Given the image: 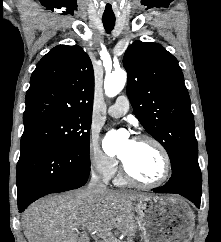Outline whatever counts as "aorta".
<instances>
[{
    "instance_id": "aorta-1",
    "label": "aorta",
    "mask_w": 221,
    "mask_h": 242,
    "mask_svg": "<svg viewBox=\"0 0 221 242\" xmlns=\"http://www.w3.org/2000/svg\"><path fill=\"white\" fill-rule=\"evenodd\" d=\"M127 81V73L125 70L113 71L105 77L104 90L108 97H115L125 86ZM123 142L122 134L119 131H109L103 141V149L105 152H116Z\"/></svg>"
}]
</instances>
